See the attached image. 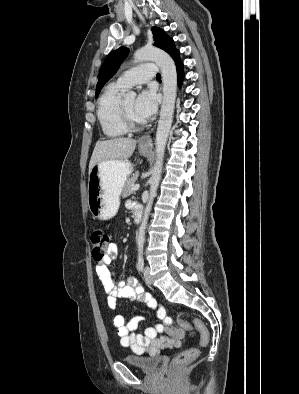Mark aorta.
Listing matches in <instances>:
<instances>
[{"label": "aorta", "mask_w": 299, "mask_h": 394, "mask_svg": "<svg viewBox=\"0 0 299 394\" xmlns=\"http://www.w3.org/2000/svg\"><path fill=\"white\" fill-rule=\"evenodd\" d=\"M154 61L161 70L163 82V102L161 105L160 119L156 132V161L150 178V196L144 210L143 219L139 227L137 244L138 252H143L145 230L151 211L154 197L156 196L159 185L163 157L165 153L168 134L172 125L175 99L177 92V71L176 66L169 54L156 47H143L134 53V62ZM134 92H129L126 96L135 97Z\"/></svg>", "instance_id": "obj_1"}]
</instances>
